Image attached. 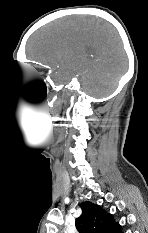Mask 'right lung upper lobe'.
Returning <instances> with one entry per match:
<instances>
[{"label":"right lung upper lobe","instance_id":"1","mask_svg":"<svg viewBox=\"0 0 148 233\" xmlns=\"http://www.w3.org/2000/svg\"><path fill=\"white\" fill-rule=\"evenodd\" d=\"M81 208L82 215L76 219L79 233H121L120 225L100 206L86 201Z\"/></svg>","mask_w":148,"mask_h":233}]
</instances>
